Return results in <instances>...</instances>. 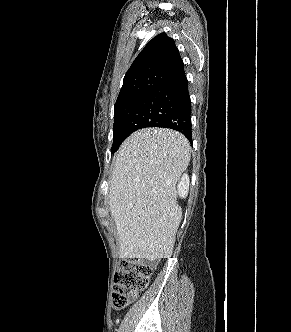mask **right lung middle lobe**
<instances>
[{
    "instance_id": "dd1d6c3e",
    "label": "right lung middle lobe",
    "mask_w": 291,
    "mask_h": 332,
    "mask_svg": "<svg viewBox=\"0 0 291 332\" xmlns=\"http://www.w3.org/2000/svg\"><path fill=\"white\" fill-rule=\"evenodd\" d=\"M149 92L150 91L135 93L116 101L114 105L113 145L111 153H114L127 138L124 133V127L137 105Z\"/></svg>"
}]
</instances>
